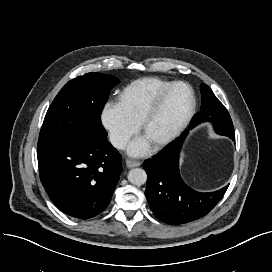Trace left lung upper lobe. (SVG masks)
<instances>
[{
	"instance_id": "obj_1",
	"label": "left lung upper lobe",
	"mask_w": 272,
	"mask_h": 272,
	"mask_svg": "<svg viewBox=\"0 0 272 272\" xmlns=\"http://www.w3.org/2000/svg\"><path fill=\"white\" fill-rule=\"evenodd\" d=\"M202 106L201 111L197 113L193 121L200 123L203 121H212L215 131L220 130V123L229 118V113L223 104L216 98L212 90L205 84L201 85ZM226 130L234 131L233 124L225 125Z\"/></svg>"
}]
</instances>
